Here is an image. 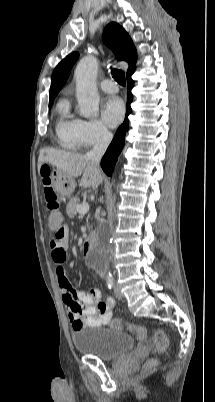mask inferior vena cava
Segmentation results:
<instances>
[{"mask_svg":"<svg viewBox=\"0 0 215 402\" xmlns=\"http://www.w3.org/2000/svg\"><path fill=\"white\" fill-rule=\"evenodd\" d=\"M112 140V134L107 129H102L99 132L96 144L93 149L86 154V159L89 160L95 167L99 168V163L104 155L108 145Z\"/></svg>","mask_w":215,"mask_h":402,"instance_id":"obj_1","label":"inferior vena cava"}]
</instances>
